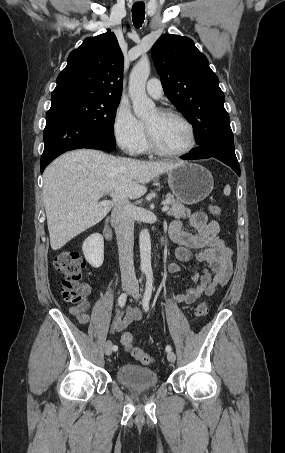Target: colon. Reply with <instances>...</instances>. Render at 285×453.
<instances>
[{"label": "colon", "mask_w": 285, "mask_h": 453, "mask_svg": "<svg viewBox=\"0 0 285 453\" xmlns=\"http://www.w3.org/2000/svg\"><path fill=\"white\" fill-rule=\"evenodd\" d=\"M210 213L219 218L222 208L216 204L209 205ZM55 269L63 275L62 295L65 300L75 305V310L84 312L87 307L88 288L82 283L85 262L76 252L64 251L54 259ZM209 307L205 300L201 301L195 308V317L202 318L208 314ZM121 343L131 355L145 365L153 363V357L144 352L140 347L134 345V337L130 332L121 335Z\"/></svg>", "instance_id": "colon-1"}]
</instances>
